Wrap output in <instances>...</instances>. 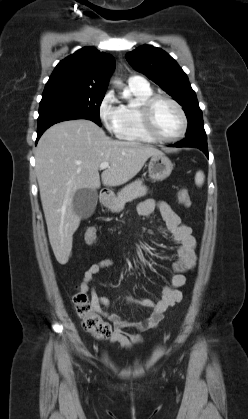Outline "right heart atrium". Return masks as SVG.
Returning a JSON list of instances; mask_svg holds the SVG:
<instances>
[{"label":"right heart atrium","instance_id":"obj_1","mask_svg":"<svg viewBox=\"0 0 248 419\" xmlns=\"http://www.w3.org/2000/svg\"><path fill=\"white\" fill-rule=\"evenodd\" d=\"M98 114L107 131L118 135L122 122V112L121 105L118 104L113 91L106 92L101 99Z\"/></svg>","mask_w":248,"mask_h":419}]
</instances>
